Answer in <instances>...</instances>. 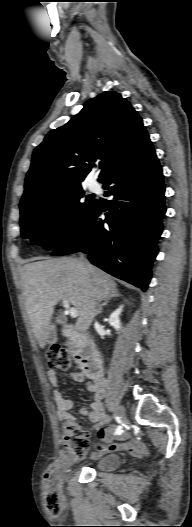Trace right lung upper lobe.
Wrapping results in <instances>:
<instances>
[{"label": "right lung upper lobe", "mask_w": 192, "mask_h": 527, "mask_svg": "<svg viewBox=\"0 0 192 527\" xmlns=\"http://www.w3.org/2000/svg\"><path fill=\"white\" fill-rule=\"evenodd\" d=\"M148 141L142 119L121 94L106 91L88 100L34 150L20 206L81 187L94 163L101 166L98 180L103 182Z\"/></svg>", "instance_id": "cb5924a9"}]
</instances>
